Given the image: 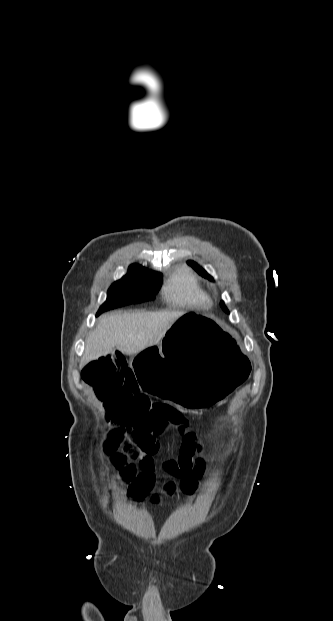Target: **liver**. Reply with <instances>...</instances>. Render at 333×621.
Instances as JSON below:
<instances>
[{
  "label": "liver",
  "mask_w": 333,
  "mask_h": 621,
  "mask_svg": "<svg viewBox=\"0 0 333 621\" xmlns=\"http://www.w3.org/2000/svg\"><path fill=\"white\" fill-rule=\"evenodd\" d=\"M181 311L117 312L99 317L96 328L89 333L80 367L106 356L114 348L123 354L136 355L157 345L172 324L183 315Z\"/></svg>",
  "instance_id": "obj_1"
}]
</instances>
